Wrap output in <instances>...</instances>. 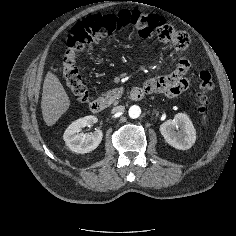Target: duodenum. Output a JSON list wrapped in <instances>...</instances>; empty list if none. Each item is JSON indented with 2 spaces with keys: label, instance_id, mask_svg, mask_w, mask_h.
Returning a JSON list of instances; mask_svg holds the SVG:
<instances>
[{
  "label": "duodenum",
  "instance_id": "duodenum-1",
  "mask_svg": "<svg viewBox=\"0 0 236 236\" xmlns=\"http://www.w3.org/2000/svg\"><path fill=\"white\" fill-rule=\"evenodd\" d=\"M145 95L143 87H133L130 91V98L133 101L141 100ZM89 109L93 113H101L106 109V103L99 99H94L89 103Z\"/></svg>",
  "mask_w": 236,
  "mask_h": 236
}]
</instances>
